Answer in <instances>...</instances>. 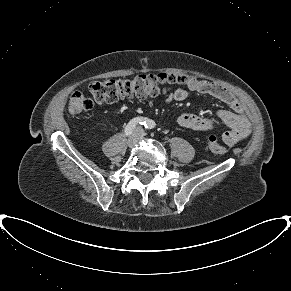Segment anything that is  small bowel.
I'll return each mask as SVG.
<instances>
[{
  "label": "small bowel",
  "mask_w": 291,
  "mask_h": 291,
  "mask_svg": "<svg viewBox=\"0 0 291 291\" xmlns=\"http://www.w3.org/2000/svg\"><path fill=\"white\" fill-rule=\"evenodd\" d=\"M187 90L210 95L230 106L232 111L219 110L217 112L218 118L228 127V130L222 134V140L225 144L232 146L249 136L250 123L244 107L229 89L216 82L192 78L186 88L179 87L174 91H165V101H184L188 97ZM177 122L183 127L196 131H211L215 128V123L212 120L192 113H182L177 118Z\"/></svg>",
  "instance_id": "small-bowel-1"
}]
</instances>
